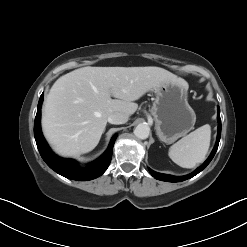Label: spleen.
I'll return each instance as SVG.
<instances>
[{"label": "spleen", "instance_id": "3e777b00", "mask_svg": "<svg viewBox=\"0 0 247 247\" xmlns=\"http://www.w3.org/2000/svg\"><path fill=\"white\" fill-rule=\"evenodd\" d=\"M211 139V127L205 124L184 136L169 149V157L183 168H193L204 161Z\"/></svg>", "mask_w": 247, "mask_h": 247}]
</instances>
